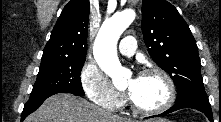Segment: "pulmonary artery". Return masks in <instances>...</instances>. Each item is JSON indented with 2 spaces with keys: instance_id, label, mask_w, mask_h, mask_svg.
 I'll return each instance as SVG.
<instances>
[{
  "instance_id": "e3ab8cb5",
  "label": "pulmonary artery",
  "mask_w": 221,
  "mask_h": 122,
  "mask_svg": "<svg viewBox=\"0 0 221 122\" xmlns=\"http://www.w3.org/2000/svg\"><path fill=\"white\" fill-rule=\"evenodd\" d=\"M136 50V40L133 36L124 37L119 43V51L126 56H132Z\"/></svg>"
}]
</instances>
